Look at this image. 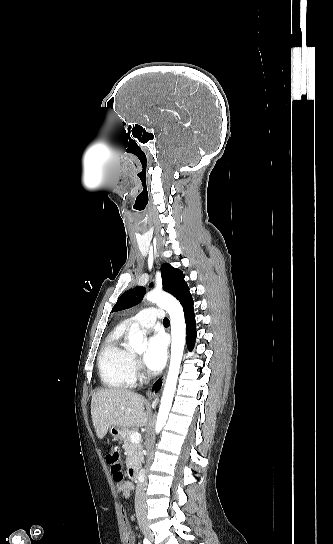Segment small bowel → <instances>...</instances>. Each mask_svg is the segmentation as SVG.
I'll return each instance as SVG.
<instances>
[{
    "mask_svg": "<svg viewBox=\"0 0 333 544\" xmlns=\"http://www.w3.org/2000/svg\"><path fill=\"white\" fill-rule=\"evenodd\" d=\"M118 492H120L124 496H128L130 492L133 490V486L130 482L123 481L120 483H117L116 485ZM126 540L128 544H134L135 538L132 531H128L126 535Z\"/></svg>",
    "mask_w": 333,
    "mask_h": 544,
    "instance_id": "small-bowel-1",
    "label": "small bowel"
}]
</instances>
